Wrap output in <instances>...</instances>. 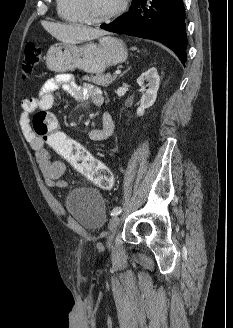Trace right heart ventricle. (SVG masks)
<instances>
[{
    "label": "right heart ventricle",
    "mask_w": 233,
    "mask_h": 328,
    "mask_svg": "<svg viewBox=\"0 0 233 328\" xmlns=\"http://www.w3.org/2000/svg\"><path fill=\"white\" fill-rule=\"evenodd\" d=\"M59 17L69 23H86L77 0H56Z\"/></svg>",
    "instance_id": "obj_1"
}]
</instances>
